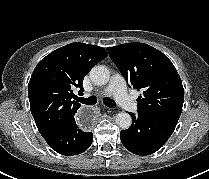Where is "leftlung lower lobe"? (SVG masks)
I'll return each instance as SVG.
<instances>
[{
  "label": "left lung lower lobe",
  "mask_w": 209,
  "mask_h": 179,
  "mask_svg": "<svg viewBox=\"0 0 209 179\" xmlns=\"http://www.w3.org/2000/svg\"><path fill=\"white\" fill-rule=\"evenodd\" d=\"M130 115L133 124L129 129L120 132V139L127 150L140 156L159 150L169 139L178 122L141 111Z\"/></svg>",
  "instance_id": "obj_1"
}]
</instances>
